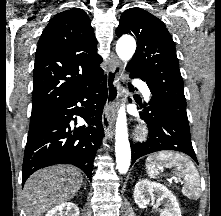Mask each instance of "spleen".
<instances>
[{"label":"spleen","mask_w":221,"mask_h":216,"mask_svg":"<svg viewBox=\"0 0 221 216\" xmlns=\"http://www.w3.org/2000/svg\"><path fill=\"white\" fill-rule=\"evenodd\" d=\"M164 167L174 168L173 174L184 179L185 185L182 188V193L185 196L189 198L199 197V173L188 157L170 151H162L147 157L146 170L149 177L157 178L160 174V169Z\"/></svg>","instance_id":"3e777b00"}]
</instances>
